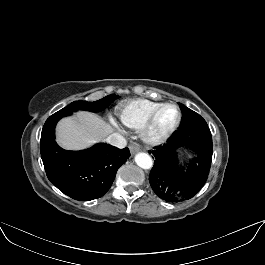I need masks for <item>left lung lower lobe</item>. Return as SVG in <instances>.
I'll return each instance as SVG.
<instances>
[{"label":"left lung lower lobe","instance_id":"obj_1","mask_svg":"<svg viewBox=\"0 0 265 265\" xmlns=\"http://www.w3.org/2000/svg\"><path fill=\"white\" fill-rule=\"evenodd\" d=\"M188 147L195 153L185 168L177 159V149ZM155 164L149 174L155 194L167 202L192 198L205 184L211 166L213 143L210 129L202 120L186 129L175 131L166 144L149 151Z\"/></svg>","mask_w":265,"mask_h":265}]
</instances>
